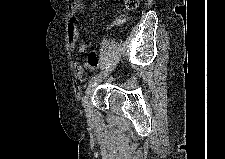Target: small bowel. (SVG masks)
I'll list each match as a JSON object with an SVG mask.
<instances>
[{
  "mask_svg": "<svg viewBox=\"0 0 225 159\" xmlns=\"http://www.w3.org/2000/svg\"><path fill=\"white\" fill-rule=\"evenodd\" d=\"M85 4L83 1H77L76 3L70 6V11L68 15L67 21V40L70 48L75 50V52L79 55L85 53L87 49V44H82L77 46V42L79 40V30L78 26L75 22L76 13L84 9ZM99 66V59L96 51H92L89 54L88 63L82 64L76 62L74 64V75L77 79L83 80L86 70H92Z\"/></svg>",
  "mask_w": 225,
  "mask_h": 159,
  "instance_id": "c3829d8e",
  "label": "small bowel"
}]
</instances>
